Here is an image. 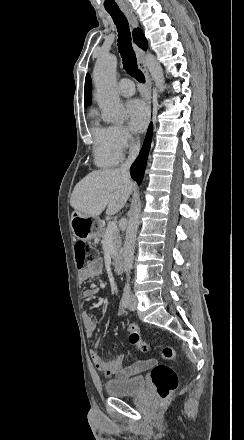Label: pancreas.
Segmentation results:
<instances>
[{"label": "pancreas", "mask_w": 244, "mask_h": 440, "mask_svg": "<svg viewBox=\"0 0 244 440\" xmlns=\"http://www.w3.org/2000/svg\"><path fill=\"white\" fill-rule=\"evenodd\" d=\"M104 236H105L104 232H101V234H98L97 238L99 240V238H104ZM111 236H112V246L113 248H115V250H117V252H119L122 246L119 230H115V232H112ZM113 260H114V256H113Z\"/></svg>", "instance_id": "obj_1"}]
</instances>
